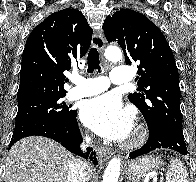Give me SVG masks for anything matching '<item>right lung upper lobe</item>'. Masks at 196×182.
<instances>
[{
  "instance_id": "cb5924a9",
  "label": "right lung upper lobe",
  "mask_w": 196,
  "mask_h": 182,
  "mask_svg": "<svg viewBox=\"0 0 196 182\" xmlns=\"http://www.w3.org/2000/svg\"><path fill=\"white\" fill-rule=\"evenodd\" d=\"M92 29L76 9L48 16L30 33L22 55L18 104L65 95L63 72L88 51Z\"/></svg>"
}]
</instances>
